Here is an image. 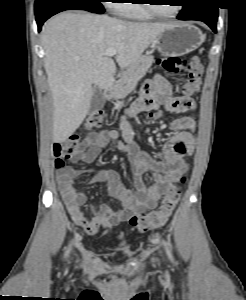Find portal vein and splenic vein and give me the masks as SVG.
Wrapping results in <instances>:
<instances>
[{
    "instance_id": "1",
    "label": "portal vein and splenic vein",
    "mask_w": 246,
    "mask_h": 300,
    "mask_svg": "<svg viewBox=\"0 0 246 300\" xmlns=\"http://www.w3.org/2000/svg\"><path fill=\"white\" fill-rule=\"evenodd\" d=\"M117 54V50L114 49V48H109V49H106L104 55L107 56V57H113Z\"/></svg>"
}]
</instances>
